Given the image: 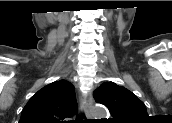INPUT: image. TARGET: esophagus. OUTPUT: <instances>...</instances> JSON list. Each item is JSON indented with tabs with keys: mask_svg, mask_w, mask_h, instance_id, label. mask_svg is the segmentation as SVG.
<instances>
[{
	"mask_svg": "<svg viewBox=\"0 0 172 123\" xmlns=\"http://www.w3.org/2000/svg\"><path fill=\"white\" fill-rule=\"evenodd\" d=\"M92 105L93 97L91 92L81 96V108L84 110L87 119H92L90 114V108Z\"/></svg>",
	"mask_w": 172,
	"mask_h": 123,
	"instance_id": "1",
	"label": "esophagus"
}]
</instances>
